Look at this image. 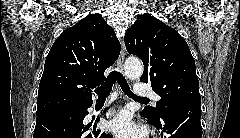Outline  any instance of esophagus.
<instances>
[{"label": "esophagus", "instance_id": "obj_1", "mask_svg": "<svg viewBox=\"0 0 240 138\" xmlns=\"http://www.w3.org/2000/svg\"><path fill=\"white\" fill-rule=\"evenodd\" d=\"M125 54H126V48H125V44L123 41L122 46H121V52H120L119 58L117 60L118 68L121 72L123 71Z\"/></svg>", "mask_w": 240, "mask_h": 138}]
</instances>
